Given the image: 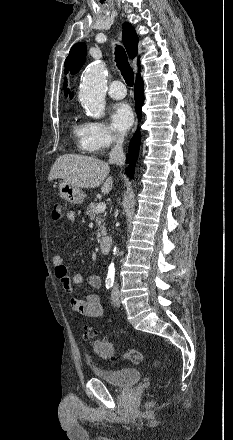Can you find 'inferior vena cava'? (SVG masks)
Masks as SVG:
<instances>
[{
    "label": "inferior vena cava",
    "mask_w": 233,
    "mask_h": 440,
    "mask_svg": "<svg viewBox=\"0 0 233 440\" xmlns=\"http://www.w3.org/2000/svg\"><path fill=\"white\" fill-rule=\"evenodd\" d=\"M113 141L115 145L109 153V163L123 165L125 162V154L123 152L124 137L120 134H116Z\"/></svg>",
    "instance_id": "1"
}]
</instances>
